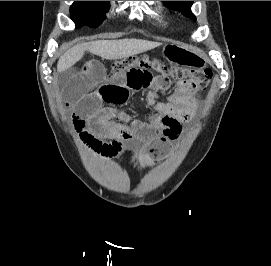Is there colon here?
Here are the masks:
<instances>
[{
    "instance_id": "obj_1",
    "label": "colon",
    "mask_w": 271,
    "mask_h": 266,
    "mask_svg": "<svg viewBox=\"0 0 271 266\" xmlns=\"http://www.w3.org/2000/svg\"><path fill=\"white\" fill-rule=\"evenodd\" d=\"M140 66L155 69L163 75H168L179 81V85L184 91L196 92L204 90L212 78V73L208 69H183L168 66L162 62L151 60L146 56L128 57L115 61L111 66L113 74L120 73L131 67Z\"/></svg>"
}]
</instances>
